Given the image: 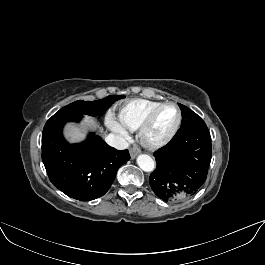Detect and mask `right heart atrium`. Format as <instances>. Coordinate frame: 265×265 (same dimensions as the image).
Returning a JSON list of instances; mask_svg holds the SVG:
<instances>
[{
	"label": "right heart atrium",
	"instance_id": "d8ad5b80",
	"mask_svg": "<svg viewBox=\"0 0 265 265\" xmlns=\"http://www.w3.org/2000/svg\"><path fill=\"white\" fill-rule=\"evenodd\" d=\"M106 123L111 130L116 132L122 138H127V131L112 116L107 117Z\"/></svg>",
	"mask_w": 265,
	"mask_h": 265
}]
</instances>
